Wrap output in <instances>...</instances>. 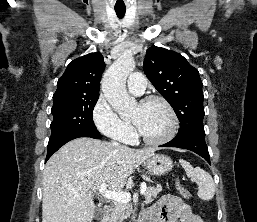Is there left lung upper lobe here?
Listing matches in <instances>:
<instances>
[{
    "label": "left lung upper lobe",
    "instance_id": "obj_1",
    "mask_svg": "<svg viewBox=\"0 0 257 222\" xmlns=\"http://www.w3.org/2000/svg\"><path fill=\"white\" fill-rule=\"evenodd\" d=\"M143 69L180 121L176 137L205 136L204 95L198 70L181 54L156 46L147 50Z\"/></svg>",
    "mask_w": 257,
    "mask_h": 222
}]
</instances>
